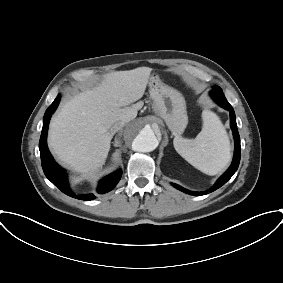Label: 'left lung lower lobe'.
<instances>
[{
    "label": "left lung lower lobe",
    "mask_w": 283,
    "mask_h": 283,
    "mask_svg": "<svg viewBox=\"0 0 283 283\" xmlns=\"http://www.w3.org/2000/svg\"><path fill=\"white\" fill-rule=\"evenodd\" d=\"M213 99H214V101L218 105H220L221 107H223L224 109H226V110H228L230 112V126H231V129L233 131L234 142H235V150H234V158H233L231 166L217 180V182L209 190V192H213V191L217 190L218 188H220L222 185H224L233 176V174L238 169V166H239V163H240V156H241L240 155L241 154L240 137H239V133H238V130H237L236 118H235L234 110H233L232 106L228 103L226 98H217L216 97V98H213ZM172 185L175 188H177L178 190H180L182 192H185L187 194H190V195L201 196V195L207 194V191L206 192H193V191H189L187 189H184V188H182L181 186H179L177 184H172Z\"/></svg>",
    "instance_id": "0a47b994"
}]
</instances>
